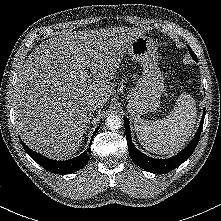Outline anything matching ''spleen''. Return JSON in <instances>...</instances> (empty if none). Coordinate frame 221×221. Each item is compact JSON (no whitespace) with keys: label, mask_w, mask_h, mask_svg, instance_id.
I'll return each instance as SVG.
<instances>
[{"label":"spleen","mask_w":221,"mask_h":221,"mask_svg":"<svg viewBox=\"0 0 221 221\" xmlns=\"http://www.w3.org/2000/svg\"><path fill=\"white\" fill-rule=\"evenodd\" d=\"M196 116L194 98L182 93L166 117L156 121L137 118L134 128L139 142L148 151L174 154L185 146L192 134Z\"/></svg>","instance_id":"3e777b00"}]
</instances>
